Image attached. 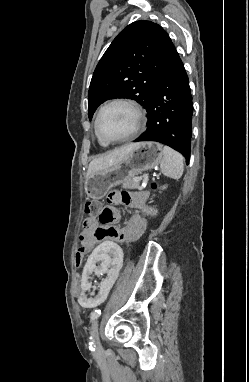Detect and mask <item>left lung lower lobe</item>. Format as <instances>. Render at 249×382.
Masks as SVG:
<instances>
[{"instance_id":"left-lung-lower-lobe-1","label":"left lung lower lobe","mask_w":249,"mask_h":382,"mask_svg":"<svg viewBox=\"0 0 249 382\" xmlns=\"http://www.w3.org/2000/svg\"><path fill=\"white\" fill-rule=\"evenodd\" d=\"M147 129L135 140L156 141L180 152L188 164L193 103L189 80L176 51L146 109Z\"/></svg>"}]
</instances>
